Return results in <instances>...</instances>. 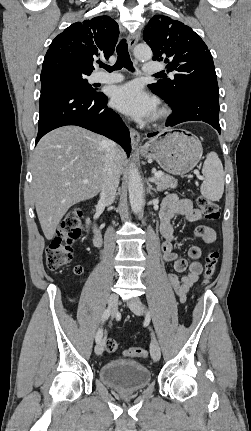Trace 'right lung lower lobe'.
Segmentation results:
<instances>
[{"label":"right lung lower lobe","instance_id":"98d812e1","mask_svg":"<svg viewBox=\"0 0 251 431\" xmlns=\"http://www.w3.org/2000/svg\"><path fill=\"white\" fill-rule=\"evenodd\" d=\"M40 117L36 144L46 133L65 125H77L102 134L131 151L129 130L120 116L107 107V97L84 91L64 80L41 82Z\"/></svg>","mask_w":251,"mask_h":431}]
</instances>
